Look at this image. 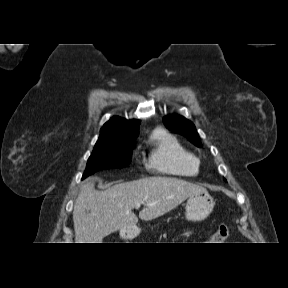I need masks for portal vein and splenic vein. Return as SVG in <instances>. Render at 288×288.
I'll return each instance as SVG.
<instances>
[{
    "instance_id": "18ae733b",
    "label": "portal vein and splenic vein",
    "mask_w": 288,
    "mask_h": 288,
    "mask_svg": "<svg viewBox=\"0 0 288 288\" xmlns=\"http://www.w3.org/2000/svg\"><path fill=\"white\" fill-rule=\"evenodd\" d=\"M141 204H144V203H137L136 207H140Z\"/></svg>"
}]
</instances>
